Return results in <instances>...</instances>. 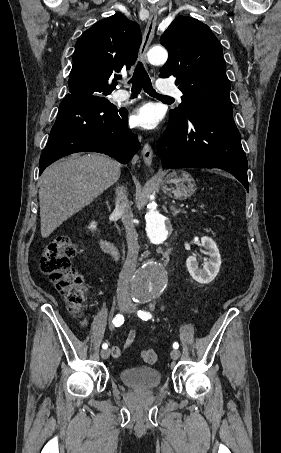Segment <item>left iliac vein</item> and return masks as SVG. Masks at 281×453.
I'll use <instances>...</instances> for the list:
<instances>
[{
    "label": "left iliac vein",
    "mask_w": 281,
    "mask_h": 453,
    "mask_svg": "<svg viewBox=\"0 0 281 453\" xmlns=\"http://www.w3.org/2000/svg\"><path fill=\"white\" fill-rule=\"evenodd\" d=\"M133 309L136 310V305H133V304L126 305V308H123V311H124V313H133L135 311ZM171 357H172V359H179V357H180L179 351H176V349H175V351H171Z\"/></svg>",
    "instance_id": "obj_1"
}]
</instances>
